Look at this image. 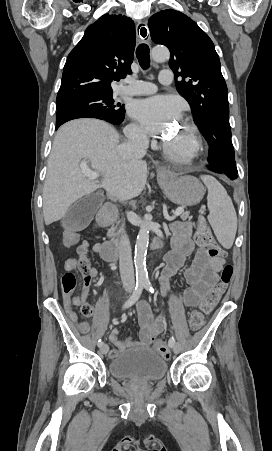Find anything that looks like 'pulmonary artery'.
I'll list each match as a JSON object with an SVG mask.
<instances>
[{"mask_svg": "<svg viewBox=\"0 0 272 451\" xmlns=\"http://www.w3.org/2000/svg\"><path fill=\"white\" fill-rule=\"evenodd\" d=\"M173 72L171 70H162L159 74V81L162 84H170L172 82ZM156 86L152 83H148L146 79H136L132 85L128 84L120 92L123 95L137 96V95H149L156 91Z\"/></svg>", "mask_w": 272, "mask_h": 451, "instance_id": "e3ab8cb5", "label": "pulmonary artery"}]
</instances>
